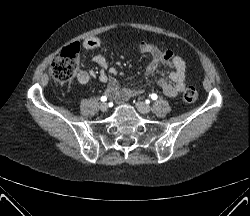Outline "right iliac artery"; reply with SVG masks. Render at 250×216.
Returning a JSON list of instances; mask_svg holds the SVG:
<instances>
[{"instance_id":"right-iliac-artery-1","label":"right iliac artery","mask_w":250,"mask_h":216,"mask_svg":"<svg viewBox=\"0 0 250 216\" xmlns=\"http://www.w3.org/2000/svg\"><path fill=\"white\" fill-rule=\"evenodd\" d=\"M106 100H107V97H106V96H102V97H101V101H102V102H105Z\"/></svg>"}]
</instances>
